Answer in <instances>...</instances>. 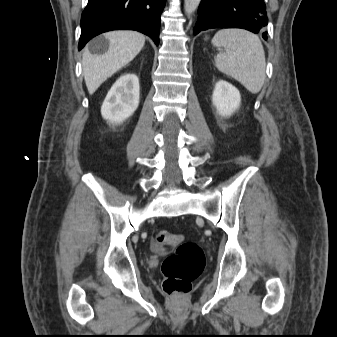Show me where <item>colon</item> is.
Masks as SVG:
<instances>
[{"instance_id": "5ec220e1", "label": "colon", "mask_w": 337, "mask_h": 337, "mask_svg": "<svg viewBox=\"0 0 337 337\" xmlns=\"http://www.w3.org/2000/svg\"><path fill=\"white\" fill-rule=\"evenodd\" d=\"M167 246H176V249L162 262L163 291L173 297L186 295L204 268V252L197 243L184 241L180 234L167 230L157 232L153 248L162 250Z\"/></svg>"}]
</instances>
